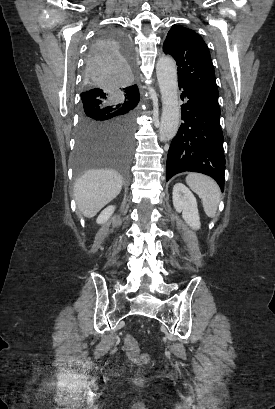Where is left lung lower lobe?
Here are the masks:
<instances>
[{"label":"left lung lower lobe","instance_id":"left-lung-lower-lobe-1","mask_svg":"<svg viewBox=\"0 0 275 409\" xmlns=\"http://www.w3.org/2000/svg\"><path fill=\"white\" fill-rule=\"evenodd\" d=\"M184 91V123L173 138L167 156L166 179L191 171L211 176L224 190L225 157L218 95L192 84L179 83Z\"/></svg>","mask_w":275,"mask_h":409}]
</instances>
